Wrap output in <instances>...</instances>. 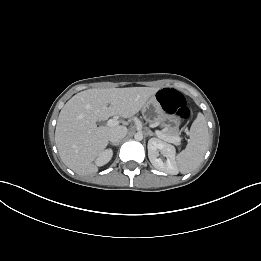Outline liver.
<instances>
[{
	"label": "liver",
	"instance_id": "6515ba94",
	"mask_svg": "<svg viewBox=\"0 0 261 261\" xmlns=\"http://www.w3.org/2000/svg\"><path fill=\"white\" fill-rule=\"evenodd\" d=\"M159 88L89 89L74 95L60 111L55 142L63 163L80 175L97 173L93 161L108 145L114 127H97L98 120L137 114ZM118 127V126H117Z\"/></svg>",
	"mask_w": 261,
	"mask_h": 261
}]
</instances>
